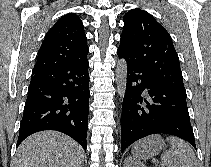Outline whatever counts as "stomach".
I'll return each mask as SVG.
<instances>
[{
  "instance_id": "1",
  "label": "stomach",
  "mask_w": 211,
  "mask_h": 167,
  "mask_svg": "<svg viewBox=\"0 0 211 167\" xmlns=\"http://www.w3.org/2000/svg\"><path fill=\"white\" fill-rule=\"evenodd\" d=\"M167 144L159 135L149 136L132 147V154L140 159H148L165 150Z\"/></svg>"
}]
</instances>
